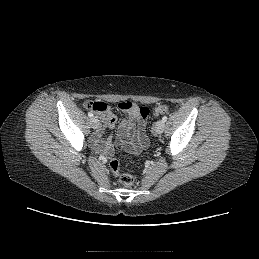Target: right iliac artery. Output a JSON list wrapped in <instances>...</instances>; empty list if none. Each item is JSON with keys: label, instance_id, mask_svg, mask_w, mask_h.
<instances>
[{"label": "right iliac artery", "instance_id": "right-iliac-artery-1", "mask_svg": "<svg viewBox=\"0 0 259 259\" xmlns=\"http://www.w3.org/2000/svg\"><path fill=\"white\" fill-rule=\"evenodd\" d=\"M88 116H89L90 118H92V117H93V113H92V112H88Z\"/></svg>", "mask_w": 259, "mask_h": 259}]
</instances>
